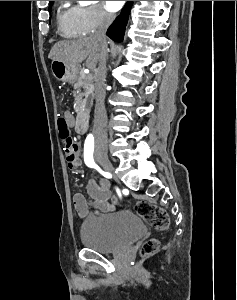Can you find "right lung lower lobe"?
Wrapping results in <instances>:
<instances>
[{
	"mask_svg": "<svg viewBox=\"0 0 237 300\" xmlns=\"http://www.w3.org/2000/svg\"><path fill=\"white\" fill-rule=\"evenodd\" d=\"M132 7V1H128L124 8L122 9L120 15L112 23V25L107 30V36L116 42H121L123 40L125 27L127 25L129 12Z\"/></svg>",
	"mask_w": 237,
	"mask_h": 300,
	"instance_id": "right-lung-lower-lobe-1",
	"label": "right lung lower lobe"
}]
</instances>
